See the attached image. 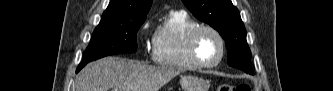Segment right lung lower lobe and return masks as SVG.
I'll return each mask as SVG.
<instances>
[{"instance_id":"obj_1","label":"right lung lower lobe","mask_w":333,"mask_h":91,"mask_svg":"<svg viewBox=\"0 0 333 91\" xmlns=\"http://www.w3.org/2000/svg\"><path fill=\"white\" fill-rule=\"evenodd\" d=\"M86 64H87V62H82L81 64H79L76 72L80 71Z\"/></svg>"}]
</instances>
